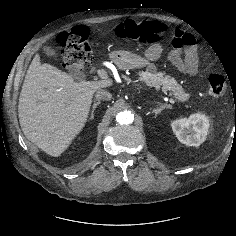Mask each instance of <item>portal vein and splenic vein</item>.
<instances>
[{"instance_id":"obj_1","label":"portal vein and splenic vein","mask_w":236,"mask_h":236,"mask_svg":"<svg viewBox=\"0 0 236 236\" xmlns=\"http://www.w3.org/2000/svg\"><path fill=\"white\" fill-rule=\"evenodd\" d=\"M97 74H98L103 80H108V74H107V72H106L104 69H98V70H97ZM169 101H170V103H172V104L175 103V101H174L172 98H170Z\"/></svg>"}]
</instances>
